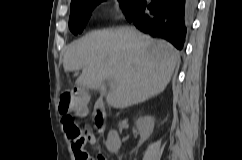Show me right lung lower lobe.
Here are the masks:
<instances>
[{
    "label": "right lung lower lobe",
    "mask_w": 242,
    "mask_h": 160,
    "mask_svg": "<svg viewBox=\"0 0 242 160\" xmlns=\"http://www.w3.org/2000/svg\"><path fill=\"white\" fill-rule=\"evenodd\" d=\"M150 1L136 0L125 12L126 19L144 33L164 38L182 49L198 0Z\"/></svg>",
    "instance_id": "98d812e1"
}]
</instances>
